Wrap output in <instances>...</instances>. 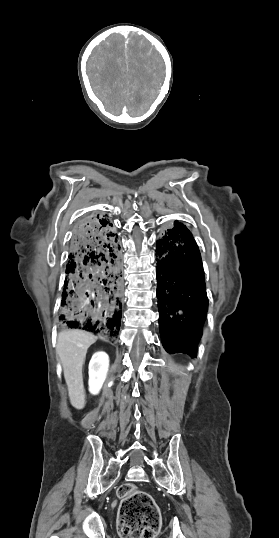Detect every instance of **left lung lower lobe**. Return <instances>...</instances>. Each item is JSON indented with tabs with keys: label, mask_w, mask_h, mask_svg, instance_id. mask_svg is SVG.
Here are the masks:
<instances>
[{
	"label": "left lung lower lobe",
	"mask_w": 279,
	"mask_h": 538,
	"mask_svg": "<svg viewBox=\"0 0 279 538\" xmlns=\"http://www.w3.org/2000/svg\"><path fill=\"white\" fill-rule=\"evenodd\" d=\"M157 298L163 347L196 357L208 300L198 246L190 231L175 221L156 242Z\"/></svg>",
	"instance_id": "left-lung-lower-lobe-1"
}]
</instances>
